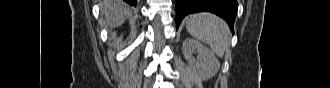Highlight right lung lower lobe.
Returning <instances> with one entry per match:
<instances>
[{"label": "right lung lower lobe", "mask_w": 330, "mask_h": 88, "mask_svg": "<svg viewBox=\"0 0 330 88\" xmlns=\"http://www.w3.org/2000/svg\"><path fill=\"white\" fill-rule=\"evenodd\" d=\"M124 1L127 2V3H129L132 6H136L137 5L136 0H124Z\"/></svg>", "instance_id": "obj_1"}]
</instances>
